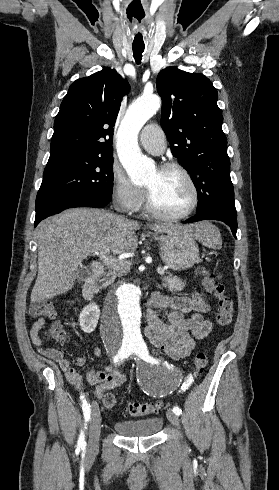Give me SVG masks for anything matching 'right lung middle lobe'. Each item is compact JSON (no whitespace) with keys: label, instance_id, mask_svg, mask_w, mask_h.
<instances>
[{"label":"right lung middle lobe","instance_id":"dd1d6c3e","mask_svg":"<svg viewBox=\"0 0 279 490\" xmlns=\"http://www.w3.org/2000/svg\"><path fill=\"white\" fill-rule=\"evenodd\" d=\"M113 191V150L48 163L36 197V211L53 197L86 195L109 203Z\"/></svg>","mask_w":279,"mask_h":490}]
</instances>
